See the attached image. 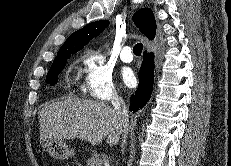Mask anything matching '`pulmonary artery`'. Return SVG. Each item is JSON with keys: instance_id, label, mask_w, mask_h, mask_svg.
<instances>
[{"instance_id": "pulmonary-artery-1", "label": "pulmonary artery", "mask_w": 231, "mask_h": 166, "mask_svg": "<svg viewBox=\"0 0 231 166\" xmlns=\"http://www.w3.org/2000/svg\"><path fill=\"white\" fill-rule=\"evenodd\" d=\"M120 59L124 63H130L133 60L132 48L130 46H124L120 52Z\"/></svg>"}]
</instances>
